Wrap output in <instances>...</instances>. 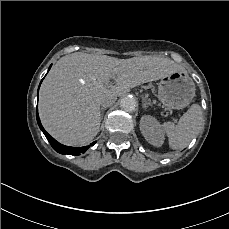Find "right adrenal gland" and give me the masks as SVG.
I'll return each mask as SVG.
<instances>
[{
  "label": "right adrenal gland",
  "mask_w": 229,
  "mask_h": 229,
  "mask_svg": "<svg viewBox=\"0 0 229 229\" xmlns=\"http://www.w3.org/2000/svg\"><path fill=\"white\" fill-rule=\"evenodd\" d=\"M106 107H102L101 108V115H102V118H103V116H104V109H105Z\"/></svg>",
  "instance_id": "1"
}]
</instances>
